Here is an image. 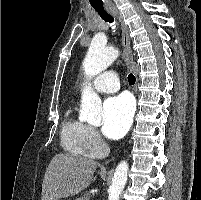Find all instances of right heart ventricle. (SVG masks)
<instances>
[{"label":"right heart ventricle","mask_w":201,"mask_h":200,"mask_svg":"<svg viewBox=\"0 0 201 200\" xmlns=\"http://www.w3.org/2000/svg\"><path fill=\"white\" fill-rule=\"evenodd\" d=\"M87 126L73 114L72 107L66 110L61 125V143L69 153L86 155L89 152L86 139Z\"/></svg>","instance_id":"right-heart-ventricle-1"}]
</instances>
